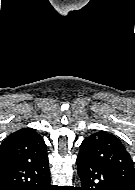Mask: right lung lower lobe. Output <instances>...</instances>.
I'll list each match as a JSON object with an SVG mask.
<instances>
[{
    "mask_svg": "<svg viewBox=\"0 0 135 190\" xmlns=\"http://www.w3.org/2000/svg\"><path fill=\"white\" fill-rule=\"evenodd\" d=\"M0 190H54L50 185L48 157L0 166Z\"/></svg>",
    "mask_w": 135,
    "mask_h": 190,
    "instance_id": "98d812e1",
    "label": "right lung lower lobe"
}]
</instances>
